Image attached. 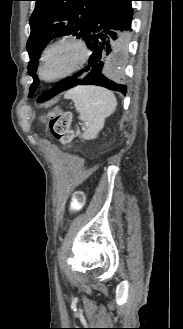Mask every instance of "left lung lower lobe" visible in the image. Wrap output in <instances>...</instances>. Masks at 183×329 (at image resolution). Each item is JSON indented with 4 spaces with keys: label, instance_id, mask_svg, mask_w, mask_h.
Segmentation results:
<instances>
[{
    "label": "left lung lower lobe",
    "instance_id": "0a47b994",
    "mask_svg": "<svg viewBox=\"0 0 183 329\" xmlns=\"http://www.w3.org/2000/svg\"><path fill=\"white\" fill-rule=\"evenodd\" d=\"M132 1L135 0H111L97 13L83 38L91 52L86 67L41 95L39 102L77 85H97L126 94V85L105 76L103 67L114 50L115 30L126 31L131 27Z\"/></svg>",
    "mask_w": 183,
    "mask_h": 329
}]
</instances>
